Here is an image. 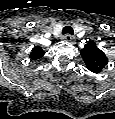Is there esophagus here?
Instances as JSON below:
<instances>
[{"instance_id": "esophagus-1", "label": "esophagus", "mask_w": 115, "mask_h": 119, "mask_svg": "<svg viewBox=\"0 0 115 119\" xmlns=\"http://www.w3.org/2000/svg\"><path fill=\"white\" fill-rule=\"evenodd\" d=\"M63 38L67 42H72L74 40V36L69 35V34L65 35Z\"/></svg>"}]
</instances>
